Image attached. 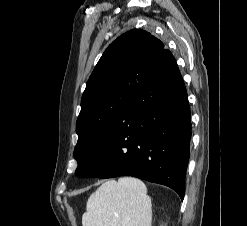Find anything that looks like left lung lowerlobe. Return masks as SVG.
Instances as JSON below:
<instances>
[{
	"label": "left lung lower lobe",
	"mask_w": 247,
	"mask_h": 226,
	"mask_svg": "<svg viewBox=\"0 0 247 226\" xmlns=\"http://www.w3.org/2000/svg\"><path fill=\"white\" fill-rule=\"evenodd\" d=\"M190 138L184 81L175 58L164 48L89 156L81 177L134 176L168 186L183 199Z\"/></svg>",
	"instance_id": "obj_1"
}]
</instances>
